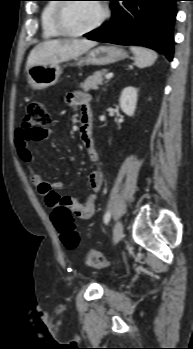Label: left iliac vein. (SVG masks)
<instances>
[{
	"instance_id": "1",
	"label": "left iliac vein",
	"mask_w": 193,
	"mask_h": 349,
	"mask_svg": "<svg viewBox=\"0 0 193 349\" xmlns=\"http://www.w3.org/2000/svg\"><path fill=\"white\" fill-rule=\"evenodd\" d=\"M123 236V224L121 221H117L113 228V242L117 243Z\"/></svg>"
}]
</instances>
